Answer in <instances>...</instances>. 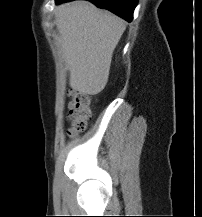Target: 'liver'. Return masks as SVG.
I'll use <instances>...</instances> for the list:
<instances>
[{"mask_svg": "<svg viewBox=\"0 0 202 217\" xmlns=\"http://www.w3.org/2000/svg\"><path fill=\"white\" fill-rule=\"evenodd\" d=\"M55 16L70 87L82 94L100 93L108 81L112 54L126 29L125 22L86 1L58 5Z\"/></svg>", "mask_w": 202, "mask_h": 217, "instance_id": "obj_1", "label": "liver"}]
</instances>
